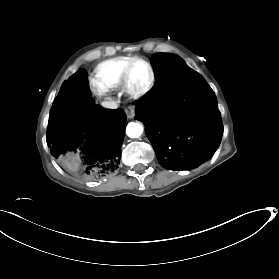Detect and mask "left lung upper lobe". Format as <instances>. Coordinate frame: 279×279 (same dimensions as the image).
I'll list each match as a JSON object with an SVG mask.
<instances>
[{"label": "left lung upper lobe", "mask_w": 279, "mask_h": 279, "mask_svg": "<svg viewBox=\"0 0 279 279\" xmlns=\"http://www.w3.org/2000/svg\"><path fill=\"white\" fill-rule=\"evenodd\" d=\"M151 64L154 68L156 82L145 95L147 99H156L171 93L187 75L195 72L186 65L182 58L174 54H154Z\"/></svg>", "instance_id": "obj_1"}]
</instances>
